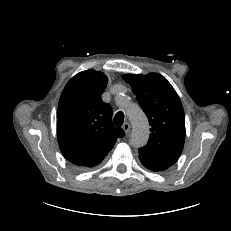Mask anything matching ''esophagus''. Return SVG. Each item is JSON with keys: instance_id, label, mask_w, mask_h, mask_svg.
Segmentation results:
<instances>
[{"instance_id": "34e87169", "label": "esophagus", "mask_w": 231, "mask_h": 231, "mask_svg": "<svg viewBox=\"0 0 231 231\" xmlns=\"http://www.w3.org/2000/svg\"><path fill=\"white\" fill-rule=\"evenodd\" d=\"M123 130L125 131L126 134H128L130 132V124L128 122H125L122 126Z\"/></svg>"}]
</instances>
